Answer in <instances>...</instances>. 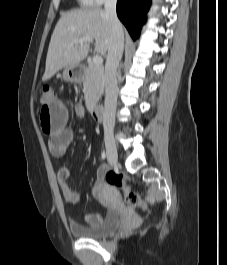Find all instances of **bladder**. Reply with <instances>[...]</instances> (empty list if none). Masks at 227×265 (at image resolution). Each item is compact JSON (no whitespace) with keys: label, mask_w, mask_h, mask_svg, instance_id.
<instances>
[{"label":"bladder","mask_w":227,"mask_h":265,"mask_svg":"<svg viewBox=\"0 0 227 265\" xmlns=\"http://www.w3.org/2000/svg\"><path fill=\"white\" fill-rule=\"evenodd\" d=\"M113 191L115 189L113 188ZM121 224V217L118 213L110 212L96 226H84L76 222L70 223V231L74 237L81 239L98 240L114 232Z\"/></svg>","instance_id":"obj_1"}]
</instances>
